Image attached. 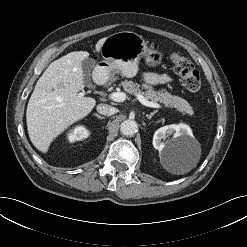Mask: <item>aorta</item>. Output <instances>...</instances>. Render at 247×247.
<instances>
[{
	"label": "aorta",
	"instance_id": "obj_1",
	"mask_svg": "<svg viewBox=\"0 0 247 247\" xmlns=\"http://www.w3.org/2000/svg\"><path fill=\"white\" fill-rule=\"evenodd\" d=\"M138 130V124L134 120H125L120 125V131L123 135L132 136Z\"/></svg>",
	"mask_w": 247,
	"mask_h": 247
}]
</instances>
